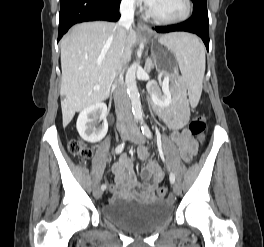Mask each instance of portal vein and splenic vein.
<instances>
[{
	"label": "portal vein and splenic vein",
	"instance_id": "obj_1",
	"mask_svg": "<svg viewBox=\"0 0 264 247\" xmlns=\"http://www.w3.org/2000/svg\"><path fill=\"white\" fill-rule=\"evenodd\" d=\"M169 79H170V75L167 74V75L164 76V82H168Z\"/></svg>",
	"mask_w": 264,
	"mask_h": 247
}]
</instances>
